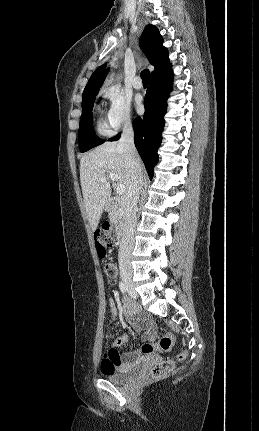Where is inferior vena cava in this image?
Instances as JSON below:
<instances>
[{
	"mask_svg": "<svg viewBox=\"0 0 259 431\" xmlns=\"http://www.w3.org/2000/svg\"><path fill=\"white\" fill-rule=\"evenodd\" d=\"M119 144L124 152L131 182L123 200V228L118 260L120 265H129L131 252L134 246V232L137 224L136 208L143 184L142 163L134 145V131L130 120L124 123Z\"/></svg>",
	"mask_w": 259,
	"mask_h": 431,
	"instance_id": "1",
	"label": "inferior vena cava"
}]
</instances>
